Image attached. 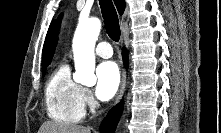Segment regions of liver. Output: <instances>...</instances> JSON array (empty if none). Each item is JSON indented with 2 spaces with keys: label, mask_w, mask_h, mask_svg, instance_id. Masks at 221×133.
I'll use <instances>...</instances> for the list:
<instances>
[{
  "label": "liver",
  "mask_w": 221,
  "mask_h": 133,
  "mask_svg": "<svg viewBox=\"0 0 221 133\" xmlns=\"http://www.w3.org/2000/svg\"><path fill=\"white\" fill-rule=\"evenodd\" d=\"M39 133H92L89 127L70 125L60 122H45L39 129Z\"/></svg>",
  "instance_id": "6515ba94"
}]
</instances>
